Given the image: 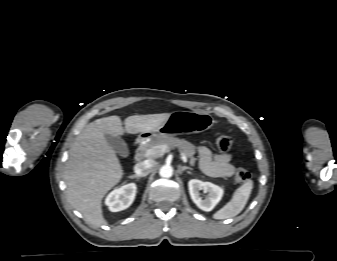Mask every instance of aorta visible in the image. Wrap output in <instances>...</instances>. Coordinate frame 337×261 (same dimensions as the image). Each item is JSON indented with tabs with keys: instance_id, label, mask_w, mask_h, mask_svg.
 <instances>
[{
	"instance_id": "1",
	"label": "aorta",
	"mask_w": 337,
	"mask_h": 261,
	"mask_svg": "<svg viewBox=\"0 0 337 261\" xmlns=\"http://www.w3.org/2000/svg\"><path fill=\"white\" fill-rule=\"evenodd\" d=\"M159 174L161 177L170 178L173 175V168L170 165H164L160 168Z\"/></svg>"
}]
</instances>
